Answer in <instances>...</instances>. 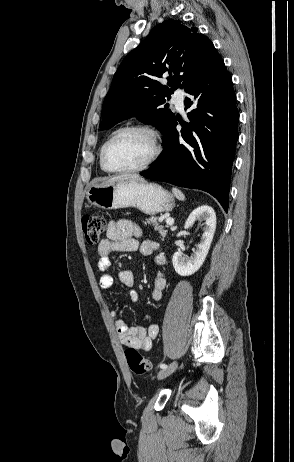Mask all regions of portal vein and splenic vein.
Returning a JSON list of instances; mask_svg holds the SVG:
<instances>
[{
	"mask_svg": "<svg viewBox=\"0 0 294 462\" xmlns=\"http://www.w3.org/2000/svg\"><path fill=\"white\" fill-rule=\"evenodd\" d=\"M166 224L169 225V226H173L174 225V219L173 218H167L166 219Z\"/></svg>",
	"mask_w": 294,
	"mask_h": 462,
	"instance_id": "portal-vein-and-splenic-vein-1",
	"label": "portal vein and splenic vein"
}]
</instances>
